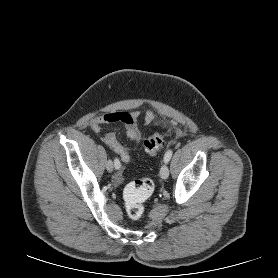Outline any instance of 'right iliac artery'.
I'll return each instance as SVG.
<instances>
[{"mask_svg":"<svg viewBox=\"0 0 278 278\" xmlns=\"http://www.w3.org/2000/svg\"><path fill=\"white\" fill-rule=\"evenodd\" d=\"M114 166L116 169H119L121 167V163L117 158L114 160Z\"/></svg>","mask_w":278,"mask_h":278,"instance_id":"1","label":"right iliac artery"}]
</instances>
